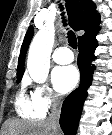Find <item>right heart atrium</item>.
I'll use <instances>...</instances> for the list:
<instances>
[{
	"label": "right heart atrium",
	"instance_id": "right-heart-atrium-1",
	"mask_svg": "<svg viewBox=\"0 0 112 135\" xmlns=\"http://www.w3.org/2000/svg\"><path fill=\"white\" fill-rule=\"evenodd\" d=\"M31 96L34 104L44 113L57 107L60 99L47 85H33Z\"/></svg>",
	"mask_w": 112,
	"mask_h": 135
}]
</instances>
